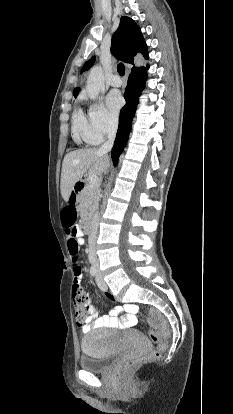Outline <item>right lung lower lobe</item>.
Instances as JSON below:
<instances>
[{"mask_svg": "<svg viewBox=\"0 0 233 414\" xmlns=\"http://www.w3.org/2000/svg\"><path fill=\"white\" fill-rule=\"evenodd\" d=\"M148 68L149 67L147 66L142 70L131 72L128 78V84L124 93L126 105L120 111L119 127L116 134L115 143L112 148V160L114 166H116L118 162V158L126 145L129 133L131 131L132 118L135 115L136 107L138 104V97L141 90L144 88L147 74L146 70Z\"/></svg>", "mask_w": 233, "mask_h": 414, "instance_id": "1", "label": "right lung lower lobe"}]
</instances>
